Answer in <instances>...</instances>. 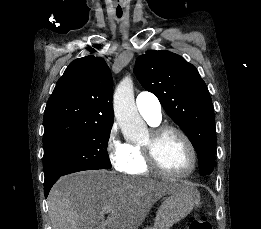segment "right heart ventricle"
<instances>
[{
	"label": "right heart ventricle",
	"instance_id": "right-heart-ventricle-1",
	"mask_svg": "<svg viewBox=\"0 0 261 229\" xmlns=\"http://www.w3.org/2000/svg\"><path fill=\"white\" fill-rule=\"evenodd\" d=\"M148 123L154 127L159 124H151L150 122ZM128 149L131 156V164L127 172L132 175H147L150 173L151 168L148 164L143 145L129 143Z\"/></svg>",
	"mask_w": 261,
	"mask_h": 229
}]
</instances>
